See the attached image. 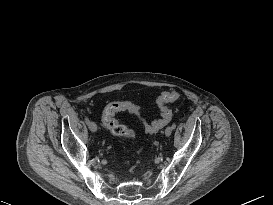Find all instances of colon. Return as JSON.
<instances>
[{
  "label": "colon",
  "instance_id": "5ec220e1",
  "mask_svg": "<svg viewBox=\"0 0 273 205\" xmlns=\"http://www.w3.org/2000/svg\"><path fill=\"white\" fill-rule=\"evenodd\" d=\"M180 98L181 95L175 91L162 93L157 98V105L160 110V118L151 123H144L145 130L148 133L153 134L169 124L172 119L173 113L172 110L169 108L168 104L177 101ZM124 109H127L128 112L137 116H140L141 114L140 109L135 105L126 107L121 102L110 103L102 111L101 121L104 127H106L113 135L132 139L135 136L134 131L119 123L118 120L115 118V115Z\"/></svg>",
  "mask_w": 273,
  "mask_h": 205
}]
</instances>
